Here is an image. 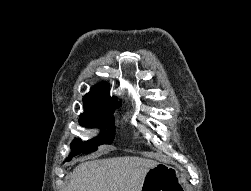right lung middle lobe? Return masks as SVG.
Wrapping results in <instances>:
<instances>
[{"label":"right lung middle lobe","mask_w":251,"mask_h":191,"mask_svg":"<svg viewBox=\"0 0 251 191\" xmlns=\"http://www.w3.org/2000/svg\"><path fill=\"white\" fill-rule=\"evenodd\" d=\"M120 106L121 104L110 107L85 109V112L80 115L79 123L84 127L90 128H105L108 124H111L110 127L114 128V117L112 116V113L114 112V108H118ZM113 139V131L103 133L100 136L86 142L75 139L71 143L72 153L66 161L71 160L73 156L80 153L87 154L94 152L97 150V146L101 144H111Z\"/></svg>","instance_id":"right-lung-middle-lobe-1"}]
</instances>
